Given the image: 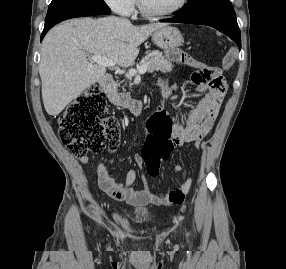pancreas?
<instances>
[{
  "label": "pancreas",
  "instance_id": "obj_1",
  "mask_svg": "<svg viewBox=\"0 0 286 269\" xmlns=\"http://www.w3.org/2000/svg\"><path fill=\"white\" fill-rule=\"evenodd\" d=\"M148 64L147 71L153 73L154 71H161L163 73L172 71V63L165 59L159 52L147 53L145 57L142 58L140 65ZM126 77L131 80V75H126Z\"/></svg>",
  "mask_w": 286,
  "mask_h": 269
}]
</instances>
